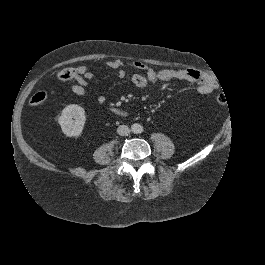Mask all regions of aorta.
<instances>
[{
  "label": "aorta",
  "mask_w": 265,
  "mask_h": 265,
  "mask_svg": "<svg viewBox=\"0 0 265 265\" xmlns=\"http://www.w3.org/2000/svg\"><path fill=\"white\" fill-rule=\"evenodd\" d=\"M131 131L134 133V134H139V133H142L143 132V126L138 124V123H134L132 126H131Z\"/></svg>",
  "instance_id": "obj_1"
}]
</instances>
